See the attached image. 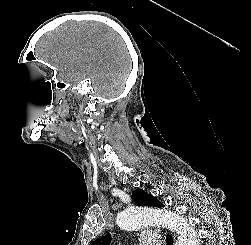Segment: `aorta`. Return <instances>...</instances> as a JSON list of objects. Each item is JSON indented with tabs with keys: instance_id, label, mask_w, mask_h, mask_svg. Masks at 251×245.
Segmentation results:
<instances>
[{
	"instance_id": "obj_1",
	"label": "aorta",
	"mask_w": 251,
	"mask_h": 245,
	"mask_svg": "<svg viewBox=\"0 0 251 245\" xmlns=\"http://www.w3.org/2000/svg\"><path fill=\"white\" fill-rule=\"evenodd\" d=\"M116 223L124 230H139L152 225H164L178 234L175 245H198L195 229L182 216L165 210L134 206L117 215Z\"/></svg>"
}]
</instances>
